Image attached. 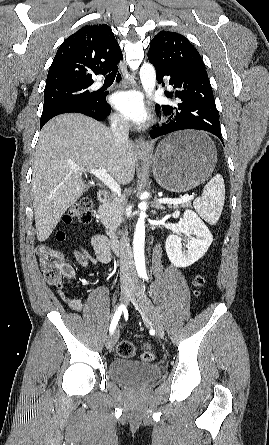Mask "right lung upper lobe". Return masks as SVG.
Listing matches in <instances>:
<instances>
[{"instance_id": "obj_1", "label": "right lung upper lobe", "mask_w": 269, "mask_h": 445, "mask_svg": "<svg viewBox=\"0 0 269 445\" xmlns=\"http://www.w3.org/2000/svg\"><path fill=\"white\" fill-rule=\"evenodd\" d=\"M123 59L108 25H86L59 47L49 68L45 89L65 85L92 84L91 72L105 75Z\"/></svg>"}]
</instances>
